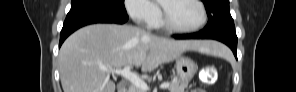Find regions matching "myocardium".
<instances>
[{
  "mask_svg": "<svg viewBox=\"0 0 296 92\" xmlns=\"http://www.w3.org/2000/svg\"><path fill=\"white\" fill-rule=\"evenodd\" d=\"M192 2H194L195 4H197V6L200 8L201 11V20L200 22L192 28H180L178 26H176L175 24H173L168 16V12H167V5L169 2L172 1H162L161 2V8H162V24L169 30L173 31V32H177V33H194L199 31L200 29H202L204 27V25L207 22V11L206 8L203 4V2L199 1V0H190Z\"/></svg>",
  "mask_w": 296,
  "mask_h": 92,
  "instance_id": "myocardium-1",
  "label": "myocardium"
}]
</instances>
